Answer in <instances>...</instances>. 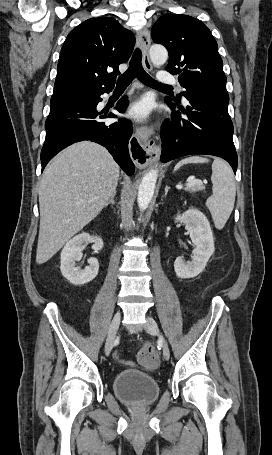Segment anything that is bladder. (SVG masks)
<instances>
[{
  "label": "bladder",
  "mask_w": 272,
  "mask_h": 455,
  "mask_svg": "<svg viewBox=\"0 0 272 455\" xmlns=\"http://www.w3.org/2000/svg\"><path fill=\"white\" fill-rule=\"evenodd\" d=\"M112 386L114 394L120 401L134 407L154 403L160 393V387L153 376L134 369L118 373Z\"/></svg>",
  "instance_id": "31cf9c89"
}]
</instances>
